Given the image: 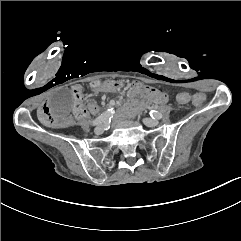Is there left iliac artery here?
<instances>
[{"label":"left iliac artery","instance_id":"left-iliac-artery-1","mask_svg":"<svg viewBox=\"0 0 241 241\" xmlns=\"http://www.w3.org/2000/svg\"><path fill=\"white\" fill-rule=\"evenodd\" d=\"M150 116H151L153 119H160V118H162V114L159 113L158 111H155V110H151V111H150Z\"/></svg>","mask_w":241,"mask_h":241}]
</instances>
